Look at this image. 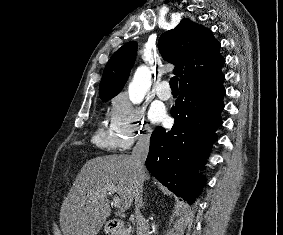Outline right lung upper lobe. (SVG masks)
<instances>
[{
    "label": "right lung upper lobe",
    "mask_w": 283,
    "mask_h": 235,
    "mask_svg": "<svg viewBox=\"0 0 283 235\" xmlns=\"http://www.w3.org/2000/svg\"><path fill=\"white\" fill-rule=\"evenodd\" d=\"M158 47L162 57L175 64L174 74L180 77V85L215 74L225 62L219 52L220 43L211 31L187 18L162 34ZM136 51V43L128 42L108 61L99 87L103 101L121 91L128 79Z\"/></svg>",
    "instance_id": "cb5924a9"
}]
</instances>
